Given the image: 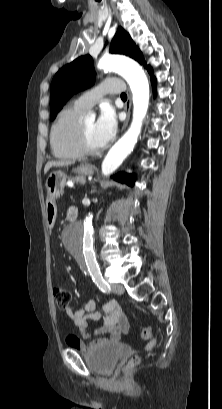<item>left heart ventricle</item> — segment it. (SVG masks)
Returning a JSON list of instances; mask_svg holds the SVG:
<instances>
[{
    "label": "left heart ventricle",
    "instance_id": "obj_1",
    "mask_svg": "<svg viewBox=\"0 0 222 409\" xmlns=\"http://www.w3.org/2000/svg\"><path fill=\"white\" fill-rule=\"evenodd\" d=\"M85 132H86V140L90 148L97 149L100 148L96 134H95V121L94 120H85L83 121Z\"/></svg>",
    "mask_w": 222,
    "mask_h": 409
}]
</instances>
